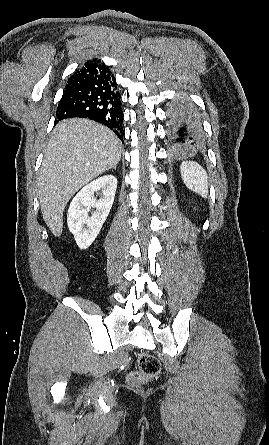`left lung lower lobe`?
Returning a JSON list of instances; mask_svg holds the SVG:
<instances>
[{
	"label": "left lung lower lobe",
	"instance_id": "1",
	"mask_svg": "<svg viewBox=\"0 0 269 445\" xmlns=\"http://www.w3.org/2000/svg\"><path fill=\"white\" fill-rule=\"evenodd\" d=\"M170 137L173 144L195 146L201 141V124L193 107L176 103L169 114Z\"/></svg>",
	"mask_w": 269,
	"mask_h": 445
}]
</instances>
